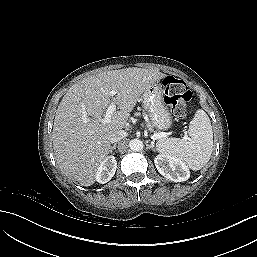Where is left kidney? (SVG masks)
Here are the masks:
<instances>
[{
    "label": "left kidney",
    "instance_id": "5707ae66",
    "mask_svg": "<svg viewBox=\"0 0 257 257\" xmlns=\"http://www.w3.org/2000/svg\"><path fill=\"white\" fill-rule=\"evenodd\" d=\"M154 163L158 172L171 181L183 182L190 177L188 167L177 158L157 155Z\"/></svg>",
    "mask_w": 257,
    "mask_h": 257
}]
</instances>
